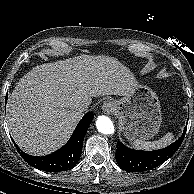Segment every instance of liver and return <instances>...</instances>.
I'll return each instance as SVG.
<instances>
[{"instance_id": "liver-1", "label": "liver", "mask_w": 194, "mask_h": 194, "mask_svg": "<svg viewBox=\"0 0 194 194\" xmlns=\"http://www.w3.org/2000/svg\"><path fill=\"white\" fill-rule=\"evenodd\" d=\"M137 85L116 58L80 55L45 63L24 75L9 96L7 125L25 152L43 156L62 146L83 116L91 97L127 95Z\"/></svg>"}]
</instances>
